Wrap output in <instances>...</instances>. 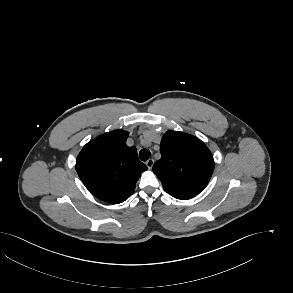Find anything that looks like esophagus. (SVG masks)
Instances as JSON below:
<instances>
[{
	"mask_svg": "<svg viewBox=\"0 0 293 293\" xmlns=\"http://www.w3.org/2000/svg\"><path fill=\"white\" fill-rule=\"evenodd\" d=\"M153 164H154V160L153 159H148L146 161V165H147L148 169H151L152 166H153Z\"/></svg>",
	"mask_w": 293,
	"mask_h": 293,
	"instance_id": "obj_1",
	"label": "esophagus"
}]
</instances>
